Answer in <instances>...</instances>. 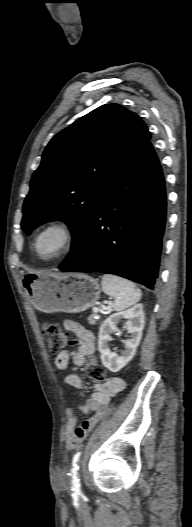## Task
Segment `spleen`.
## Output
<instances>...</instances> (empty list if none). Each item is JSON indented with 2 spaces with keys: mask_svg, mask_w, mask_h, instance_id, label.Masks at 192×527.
<instances>
[{
  "mask_svg": "<svg viewBox=\"0 0 192 527\" xmlns=\"http://www.w3.org/2000/svg\"><path fill=\"white\" fill-rule=\"evenodd\" d=\"M102 290L106 295L114 298V310H124L141 299L142 293L131 281L115 275H103Z\"/></svg>",
  "mask_w": 192,
  "mask_h": 527,
  "instance_id": "spleen-1",
  "label": "spleen"
}]
</instances>
